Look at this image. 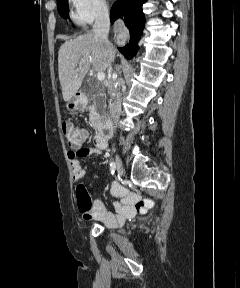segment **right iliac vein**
Listing matches in <instances>:
<instances>
[{
  "label": "right iliac vein",
  "instance_id": "63e3f726",
  "mask_svg": "<svg viewBox=\"0 0 240 288\" xmlns=\"http://www.w3.org/2000/svg\"><path fill=\"white\" fill-rule=\"evenodd\" d=\"M114 167L118 176L121 177L123 175V166H122L121 159L119 158L117 154L115 155Z\"/></svg>",
  "mask_w": 240,
  "mask_h": 288
}]
</instances>
